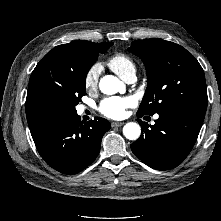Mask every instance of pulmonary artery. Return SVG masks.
I'll use <instances>...</instances> for the list:
<instances>
[{"label":"pulmonary artery","instance_id":"e3ab8cb5","mask_svg":"<svg viewBox=\"0 0 221 221\" xmlns=\"http://www.w3.org/2000/svg\"><path fill=\"white\" fill-rule=\"evenodd\" d=\"M136 79V75H135V72H131L129 73L125 78L124 80L127 82V83H133ZM84 110L83 107H80L79 108V111L82 112ZM156 119L158 118V116L155 117Z\"/></svg>","mask_w":221,"mask_h":221}]
</instances>
